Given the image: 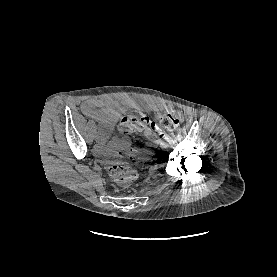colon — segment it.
<instances>
[{"mask_svg": "<svg viewBox=\"0 0 277 277\" xmlns=\"http://www.w3.org/2000/svg\"><path fill=\"white\" fill-rule=\"evenodd\" d=\"M183 120V115L180 111L174 110L164 116H162L158 123H151L149 120L140 115H126L119 123V130L122 133H132L144 131L150 125L152 129L174 130ZM144 151L147 154H152L155 151V140H149ZM138 155L135 150L128 152L116 151L111 157V163L109 167L110 175L114 182L123 188H130L138 178V172L133 167L129 166L126 162L137 160Z\"/></svg>", "mask_w": 277, "mask_h": 277, "instance_id": "colon-1", "label": "colon"}]
</instances>
